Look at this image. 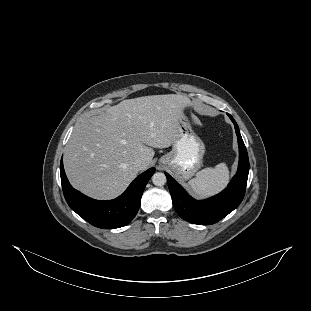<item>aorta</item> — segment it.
Here are the masks:
<instances>
[{
  "instance_id": "1",
  "label": "aorta",
  "mask_w": 311,
  "mask_h": 311,
  "mask_svg": "<svg viewBox=\"0 0 311 311\" xmlns=\"http://www.w3.org/2000/svg\"><path fill=\"white\" fill-rule=\"evenodd\" d=\"M152 182L155 186H163L167 182L166 175L162 172H156L152 176Z\"/></svg>"
}]
</instances>
